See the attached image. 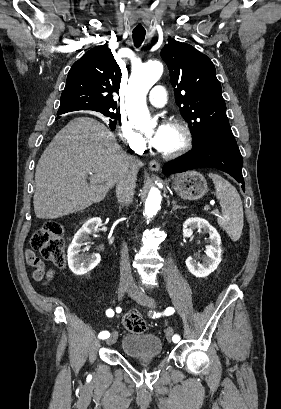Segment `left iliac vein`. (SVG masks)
<instances>
[{"label":"left iliac vein","mask_w":281,"mask_h":409,"mask_svg":"<svg viewBox=\"0 0 281 409\" xmlns=\"http://www.w3.org/2000/svg\"><path fill=\"white\" fill-rule=\"evenodd\" d=\"M128 294L140 305L155 308L156 307V302L152 297H149L148 295L144 294L140 289L132 284L130 285L128 289ZM173 329L169 327L166 331V337L168 341H172L173 338Z\"/></svg>","instance_id":"obj_1"}]
</instances>
